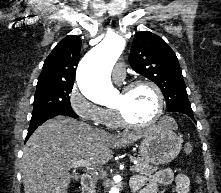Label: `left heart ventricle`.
<instances>
[{
  "label": "left heart ventricle",
  "instance_id": "b2bd125f",
  "mask_svg": "<svg viewBox=\"0 0 221 193\" xmlns=\"http://www.w3.org/2000/svg\"><path fill=\"white\" fill-rule=\"evenodd\" d=\"M120 107L130 121L144 123L155 114L157 99L149 86H137L128 92H120L115 104Z\"/></svg>",
  "mask_w": 221,
  "mask_h": 193
}]
</instances>
